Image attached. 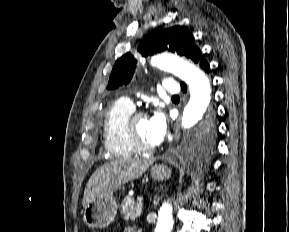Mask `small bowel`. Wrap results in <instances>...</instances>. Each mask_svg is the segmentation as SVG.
<instances>
[{"mask_svg": "<svg viewBox=\"0 0 289 232\" xmlns=\"http://www.w3.org/2000/svg\"><path fill=\"white\" fill-rule=\"evenodd\" d=\"M124 232H140V231H135V230L132 229V228H126V229L124 230Z\"/></svg>", "mask_w": 289, "mask_h": 232, "instance_id": "c3829d8e", "label": "small bowel"}]
</instances>
